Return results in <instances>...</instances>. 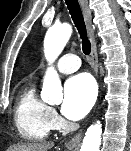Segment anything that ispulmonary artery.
Wrapping results in <instances>:
<instances>
[{
  "mask_svg": "<svg viewBox=\"0 0 131 151\" xmlns=\"http://www.w3.org/2000/svg\"><path fill=\"white\" fill-rule=\"evenodd\" d=\"M81 65L79 57L75 54L68 53L63 55L57 62L59 72L69 74L75 72Z\"/></svg>",
  "mask_w": 131,
  "mask_h": 151,
  "instance_id": "e3ab8cb5",
  "label": "pulmonary artery"
}]
</instances>
